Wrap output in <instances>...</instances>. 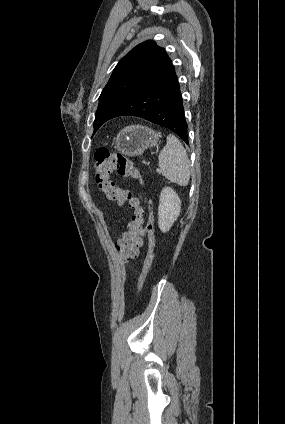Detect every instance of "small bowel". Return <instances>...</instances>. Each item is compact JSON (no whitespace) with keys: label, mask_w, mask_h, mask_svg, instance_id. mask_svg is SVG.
<instances>
[{"label":"small bowel","mask_w":285,"mask_h":424,"mask_svg":"<svg viewBox=\"0 0 285 424\" xmlns=\"http://www.w3.org/2000/svg\"><path fill=\"white\" fill-rule=\"evenodd\" d=\"M138 254H139V249L137 250L136 255L134 257H136Z\"/></svg>","instance_id":"obj_1"}]
</instances>
